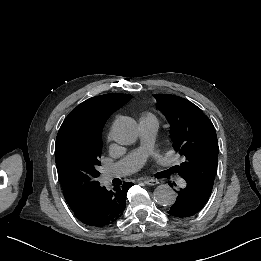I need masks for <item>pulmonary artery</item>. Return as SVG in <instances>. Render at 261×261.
<instances>
[{
	"label": "pulmonary artery",
	"instance_id": "pulmonary-artery-1",
	"mask_svg": "<svg viewBox=\"0 0 261 261\" xmlns=\"http://www.w3.org/2000/svg\"><path fill=\"white\" fill-rule=\"evenodd\" d=\"M140 142L134 153L126 156L114 165L107 167L103 171L106 180L123 176L132 170L138 171L142 168L144 160L152 150L153 142L157 132L158 124L156 120L141 119L139 120Z\"/></svg>",
	"mask_w": 261,
	"mask_h": 261
}]
</instances>
